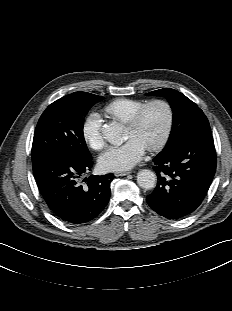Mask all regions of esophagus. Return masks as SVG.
<instances>
[{
    "mask_svg": "<svg viewBox=\"0 0 232 311\" xmlns=\"http://www.w3.org/2000/svg\"><path fill=\"white\" fill-rule=\"evenodd\" d=\"M131 171H123V172H115V176L118 177V176H125V175H128L130 174Z\"/></svg>",
    "mask_w": 232,
    "mask_h": 311,
    "instance_id": "obj_1",
    "label": "esophagus"
}]
</instances>
